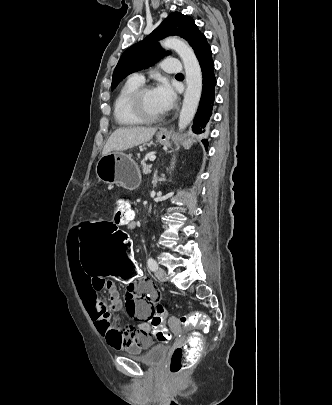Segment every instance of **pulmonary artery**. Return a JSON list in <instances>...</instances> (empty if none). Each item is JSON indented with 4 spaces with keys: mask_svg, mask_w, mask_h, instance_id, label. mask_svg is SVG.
Instances as JSON below:
<instances>
[{
    "mask_svg": "<svg viewBox=\"0 0 332 405\" xmlns=\"http://www.w3.org/2000/svg\"><path fill=\"white\" fill-rule=\"evenodd\" d=\"M161 68L164 72L170 74H179L182 70L179 60L175 58H167L163 60ZM131 79L140 83L144 82V76L141 73H134Z\"/></svg>",
    "mask_w": 332,
    "mask_h": 405,
    "instance_id": "e3ab8cb5",
    "label": "pulmonary artery"
}]
</instances>
